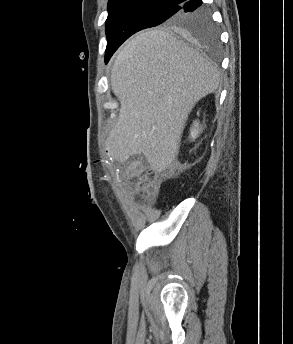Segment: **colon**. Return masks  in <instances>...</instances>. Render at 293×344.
I'll return each instance as SVG.
<instances>
[{"mask_svg": "<svg viewBox=\"0 0 293 344\" xmlns=\"http://www.w3.org/2000/svg\"><path fill=\"white\" fill-rule=\"evenodd\" d=\"M138 192L143 198H150L153 196L155 189L152 180L145 179L137 185Z\"/></svg>", "mask_w": 293, "mask_h": 344, "instance_id": "obj_1", "label": "colon"}]
</instances>
